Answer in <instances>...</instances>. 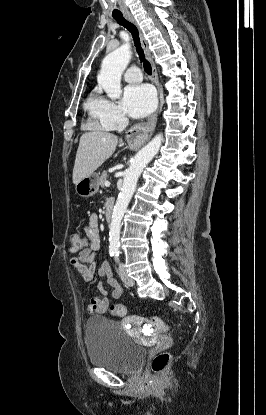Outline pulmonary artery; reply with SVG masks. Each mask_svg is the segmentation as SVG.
<instances>
[{
  "label": "pulmonary artery",
  "instance_id": "pulmonary-artery-1",
  "mask_svg": "<svg viewBox=\"0 0 266 415\" xmlns=\"http://www.w3.org/2000/svg\"><path fill=\"white\" fill-rule=\"evenodd\" d=\"M124 79L130 83L140 82L142 80V74L137 66L129 67L124 73Z\"/></svg>",
  "mask_w": 266,
  "mask_h": 415
}]
</instances>
